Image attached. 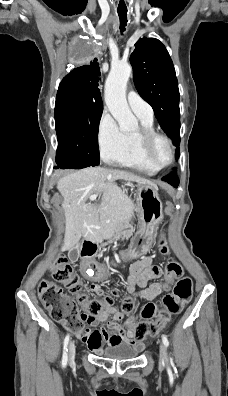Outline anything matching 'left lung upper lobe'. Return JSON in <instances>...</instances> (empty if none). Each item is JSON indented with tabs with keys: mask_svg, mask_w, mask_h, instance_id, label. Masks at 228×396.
<instances>
[{
	"mask_svg": "<svg viewBox=\"0 0 228 396\" xmlns=\"http://www.w3.org/2000/svg\"><path fill=\"white\" fill-rule=\"evenodd\" d=\"M133 78L140 96L148 102L163 131L180 144L179 89L166 47L155 38H142L130 56Z\"/></svg>",
	"mask_w": 228,
	"mask_h": 396,
	"instance_id": "5c2ea615",
	"label": "left lung upper lobe"
}]
</instances>
